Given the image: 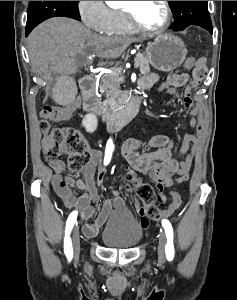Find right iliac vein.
I'll return each mask as SVG.
<instances>
[{
	"label": "right iliac vein",
	"mask_w": 237,
	"mask_h": 300,
	"mask_svg": "<svg viewBox=\"0 0 237 300\" xmlns=\"http://www.w3.org/2000/svg\"><path fill=\"white\" fill-rule=\"evenodd\" d=\"M73 247H74V253L78 254L80 251V235L77 227L74 228Z\"/></svg>",
	"instance_id": "1"
}]
</instances>
